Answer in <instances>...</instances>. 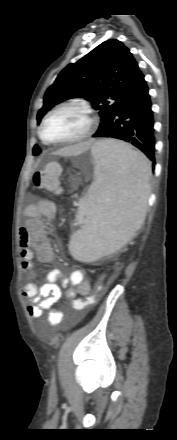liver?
Wrapping results in <instances>:
<instances>
[{"instance_id": "1", "label": "liver", "mask_w": 177, "mask_h": 440, "mask_svg": "<svg viewBox=\"0 0 177 440\" xmlns=\"http://www.w3.org/2000/svg\"><path fill=\"white\" fill-rule=\"evenodd\" d=\"M93 140L85 141L75 145L64 147L58 150L56 153L61 156H77L85 151H87L90 146H92Z\"/></svg>"}]
</instances>
